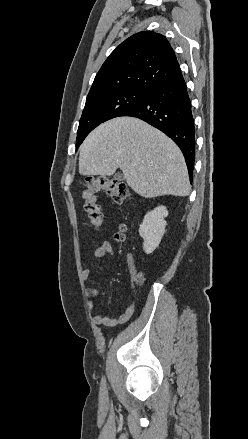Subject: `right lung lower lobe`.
I'll list each match as a JSON object with an SVG mask.
<instances>
[{"label": "right lung lower lobe", "instance_id": "98d812e1", "mask_svg": "<svg viewBox=\"0 0 248 439\" xmlns=\"http://www.w3.org/2000/svg\"><path fill=\"white\" fill-rule=\"evenodd\" d=\"M120 116L139 118L170 137L181 149L192 181L195 161V127L182 73L150 91Z\"/></svg>", "mask_w": 248, "mask_h": 439}]
</instances>
